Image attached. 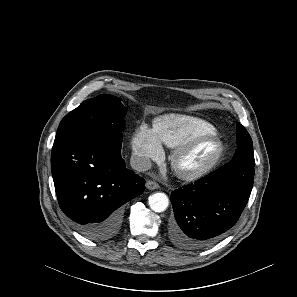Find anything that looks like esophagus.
Instances as JSON below:
<instances>
[{
    "mask_svg": "<svg viewBox=\"0 0 297 297\" xmlns=\"http://www.w3.org/2000/svg\"><path fill=\"white\" fill-rule=\"evenodd\" d=\"M159 187H160L159 184L153 180H149L146 182V188L149 190H156Z\"/></svg>",
    "mask_w": 297,
    "mask_h": 297,
    "instance_id": "1",
    "label": "esophagus"
}]
</instances>
